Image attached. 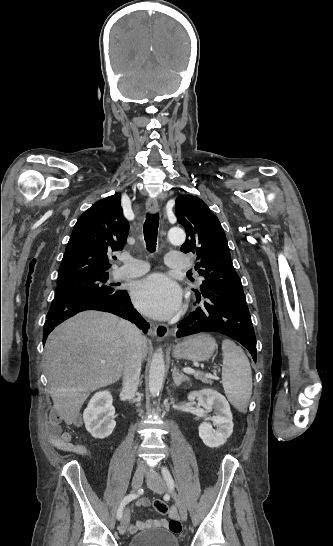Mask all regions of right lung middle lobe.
Here are the masks:
<instances>
[{
  "label": "right lung middle lobe",
  "mask_w": 333,
  "mask_h": 546,
  "mask_svg": "<svg viewBox=\"0 0 333 546\" xmlns=\"http://www.w3.org/2000/svg\"><path fill=\"white\" fill-rule=\"evenodd\" d=\"M108 273L77 275L57 280L55 297L92 293L112 295L115 289L106 284Z\"/></svg>",
  "instance_id": "right-lung-middle-lobe-1"
}]
</instances>
